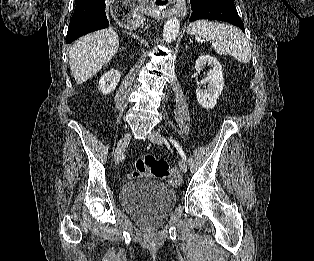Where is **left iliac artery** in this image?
I'll use <instances>...</instances> for the list:
<instances>
[{"label": "left iliac artery", "instance_id": "obj_1", "mask_svg": "<svg viewBox=\"0 0 314 261\" xmlns=\"http://www.w3.org/2000/svg\"><path fill=\"white\" fill-rule=\"evenodd\" d=\"M169 140L174 145V147L177 149V151L179 152L182 159L186 161V155H185L182 147L180 146V144L175 139L170 138Z\"/></svg>", "mask_w": 314, "mask_h": 261}]
</instances>
